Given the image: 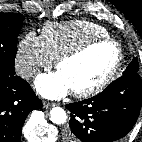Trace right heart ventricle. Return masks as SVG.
Masks as SVG:
<instances>
[{
    "label": "right heart ventricle",
    "instance_id": "obj_1",
    "mask_svg": "<svg viewBox=\"0 0 142 142\" xmlns=\"http://www.w3.org/2000/svg\"><path fill=\"white\" fill-rule=\"evenodd\" d=\"M40 37L51 57L57 59L61 54L88 40L109 37V32L105 27L95 22L73 20L45 24Z\"/></svg>",
    "mask_w": 142,
    "mask_h": 142
}]
</instances>
